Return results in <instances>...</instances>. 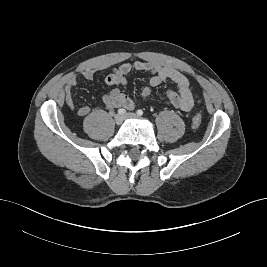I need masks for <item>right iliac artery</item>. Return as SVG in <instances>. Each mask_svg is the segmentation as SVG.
Listing matches in <instances>:
<instances>
[{
	"mask_svg": "<svg viewBox=\"0 0 267 267\" xmlns=\"http://www.w3.org/2000/svg\"><path fill=\"white\" fill-rule=\"evenodd\" d=\"M118 113L123 115V114H125V113H126V110H125V109H123V108H121V109H119V110H118Z\"/></svg>",
	"mask_w": 267,
	"mask_h": 267,
	"instance_id": "82829eb1",
	"label": "right iliac artery"
}]
</instances>
